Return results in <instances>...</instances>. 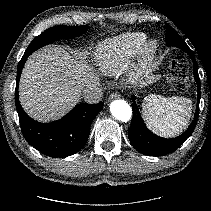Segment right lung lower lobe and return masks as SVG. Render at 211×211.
Here are the masks:
<instances>
[{
  "instance_id": "obj_1",
  "label": "right lung lower lobe",
  "mask_w": 211,
  "mask_h": 211,
  "mask_svg": "<svg viewBox=\"0 0 211 211\" xmlns=\"http://www.w3.org/2000/svg\"><path fill=\"white\" fill-rule=\"evenodd\" d=\"M29 55H23L17 70L15 103L20 126L26 141L49 157H67L85 145L92 121L103 109V103L78 104L67 115L51 123H39L30 118L18 99L22 68Z\"/></svg>"
}]
</instances>
